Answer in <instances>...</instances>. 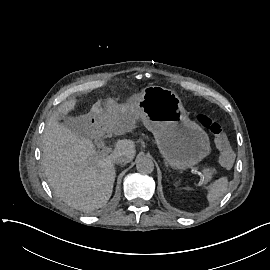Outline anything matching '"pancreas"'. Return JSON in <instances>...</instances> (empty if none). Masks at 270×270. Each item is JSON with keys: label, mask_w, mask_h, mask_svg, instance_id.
Segmentation results:
<instances>
[{"label": "pancreas", "mask_w": 270, "mask_h": 270, "mask_svg": "<svg viewBox=\"0 0 270 270\" xmlns=\"http://www.w3.org/2000/svg\"><path fill=\"white\" fill-rule=\"evenodd\" d=\"M216 173V169L215 168H206L203 170V174H204V183H207L211 180L212 175Z\"/></svg>", "instance_id": "obj_1"}]
</instances>
